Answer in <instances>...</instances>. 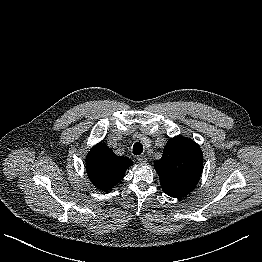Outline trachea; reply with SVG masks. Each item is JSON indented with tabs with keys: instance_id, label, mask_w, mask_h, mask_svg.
<instances>
[{
	"instance_id": "trachea-1",
	"label": "trachea",
	"mask_w": 262,
	"mask_h": 262,
	"mask_svg": "<svg viewBox=\"0 0 262 262\" xmlns=\"http://www.w3.org/2000/svg\"><path fill=\"white\" fill-rule=\"evenodd\" d=\"M143 152V145L140 142H136L133 145V154L140 155Z\"/></svg>"
}]
</instances>
